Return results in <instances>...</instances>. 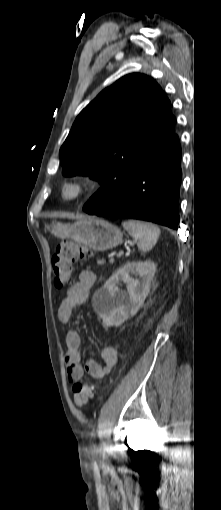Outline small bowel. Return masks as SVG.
I'll use <instances>...</instances> for the list:
<instances>
[{"instance_id":"obj_1","label":"small bowel","mask_w":221,"mask_h":510,"mask_svg":"<svg viewBox=\"0 0 221 510\" xmlns=\"http://www.w3.org/2000/svg\"><path fill=\"white\" fill-rule=\"evenodd\" d=\"M96 280L95 274L90 270H83L78 280L72 284L58 309V318L61 323H68L74 312L84 303L89 291ZM81 336L78 331L70 330L66 334V357L67 373L70 381L79 380L86 371L89 377L95 381L104 379L117 363V351L113 347H105L101 351L103 364L90 357L83 367L81 365Z\"/></svg>"}]
</instances>
